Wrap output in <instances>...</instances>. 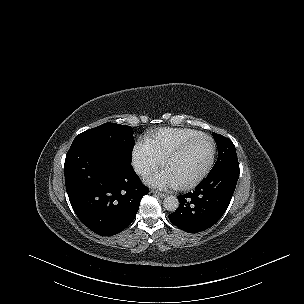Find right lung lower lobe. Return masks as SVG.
<instances>
[{"mask_svg": "<svg viewBox=\"0 0 304 304\" xmlns=\"http://www.w3.org/2000/svg\"><path fill=\"white\" fill-rule=\"evenodd\" d=\"M64 174L74 212L86 227L102 236L115 235L131 224L148 193L131 164L94 143L71 145Z\"/></svg>", "mask_w": 304, "mask_h": 304, "instance_id": "98d812e1", "label": "right lung lower lobe"}]
</instances>
